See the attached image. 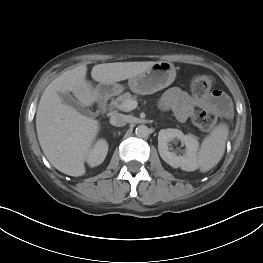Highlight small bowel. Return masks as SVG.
I'll list each match as a JSON object with an SVG mask.
<instances>
[{
    "label": "small bowel",
    "instance_id": "obj_1",
    "mask_svg": "<svg viewBox=\"0 0 263 263\" xmlns=\"http://www.w3.org/2000/svg\"><path fill=\"white\" fill-rule=\"evenodd\" d=\"M161 106L170 109L180 121L187 120L196 108H205L228 112L230 104L228 98L221 91H213L212 94L199 97L178 88H169L161 98Z\"/></svg>",
    "mask_w": 263,
    "mask_h": 263
}]
</instances>
